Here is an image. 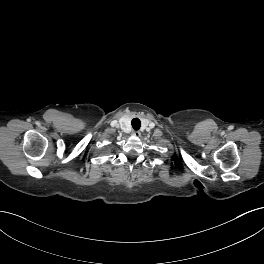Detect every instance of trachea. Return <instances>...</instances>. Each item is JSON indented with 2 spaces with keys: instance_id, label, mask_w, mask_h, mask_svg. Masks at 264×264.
Masks as SVG:
<instances>
[{
  "instance_id": "obj_1",
  "label": "trachea",
  "mask_w": 264,
  "mask_h": 264,
  "mask_svg": "<svg viewBox=\"0 0 264 264\" xmlns=\"http://www.w3.org/2000/svg\"><path fill=\"white\" fill-rule=\"evenodd\" d=\"M131 124H132V127H133L134 130H138L140 128V126H141V122H140V120L138 118L132 119Z\"/></svg>"
}]
</instances>
